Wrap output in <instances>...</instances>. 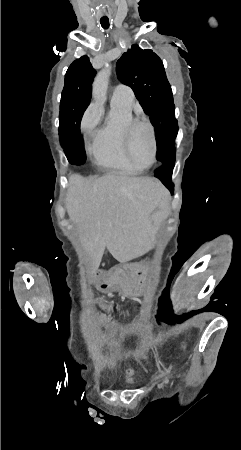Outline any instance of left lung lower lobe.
<instances>
[{
	"label": "left lung lower lobe",
	"mask_w": 241,
	"mask_h": 450,
	"mask_svg": "<svg viewBox=\"0 0 241 450\" xmlns=\"http://www.w3.org/2000/svg\"><path fill=\"white\" fill-rule=\"evenodd\" d=\"M175 163V154L166 162L161 163V166L155 171V176L173 192L174 185L171 182L172 171Z\"/></svg>",
	"instance_id": "obj_1"
}]
</instances>
